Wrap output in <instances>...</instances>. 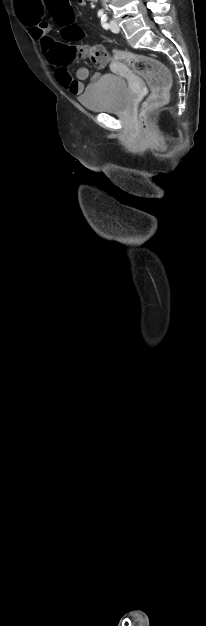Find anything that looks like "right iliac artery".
Instances as JSON below:
<instances>
[{
	"label": "right iliac artery",
	"instance_id": "82829eb1",
	"mask_svg": "<svg viewBox=\"0 0 206 626\" xmlns=\"http://www.w3.org/2000/svg\"><path fill=\"white\" fill-rule=\"evenodd\" d=\"M98 16H99V17H103V16H104V12H103L102 10H100V11L98 12Z\"/></svg>",
	"mask_w": 206,
	"mask_h": 626
}]
</instances>
